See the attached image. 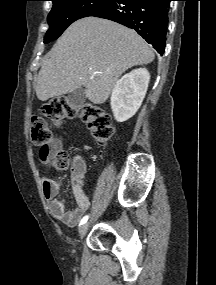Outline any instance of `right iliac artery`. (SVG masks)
I'll list each match as a JSON object with an SVG mask.
<instances>
[{"label": "right iliac artery", "mask_w": 216, "mask_h": 285, "mask_svg": "<svg viewBox=\"0 0 216 285\" xmlns=\"http://www.w3.org/2000/svg\"><path fill=\"white\" fill-rule=\"evenodd\" d=\"M88 218H89V216H88V215L84 216V217L81 219V221H80V225H82V224L86 223V222H87V220H88Z\"/></svg>", "instance_id": "82829eb1"}]
</instances>
